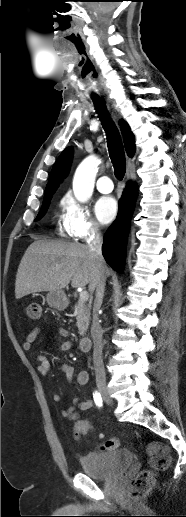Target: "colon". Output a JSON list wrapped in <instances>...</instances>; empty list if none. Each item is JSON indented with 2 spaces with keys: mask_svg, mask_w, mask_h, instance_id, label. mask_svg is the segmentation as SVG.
Wrapping results in <instances>:
<instances>
[{
  "mask_svg": "<svg viewBox=\"0 0 186 517\" xmlns=\"http://www.w3.org/2000/svg\"><path fill=\"white\" fill-rule=\"evenodd\" d=\"M26 315L31 320H39L42 316V308L38 303H30L26 307ZM78 437L77 430L74 431ZM119 440L116 437L107 438L101 445L102 449L112 450L119 447ZM147 454L151 469L140 472L131 482L129 497L138 499L144 497L155 484V476L159 471L167 469L170 465V454L166 445L161 442L152 441L147 444Z\"/></svg>",
  "mask_w": 186,
  "mask_h": 517,
  "instance_id": "1",
  "label": "colon"
}]
</instances>
